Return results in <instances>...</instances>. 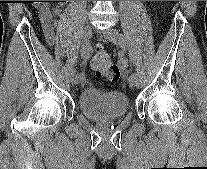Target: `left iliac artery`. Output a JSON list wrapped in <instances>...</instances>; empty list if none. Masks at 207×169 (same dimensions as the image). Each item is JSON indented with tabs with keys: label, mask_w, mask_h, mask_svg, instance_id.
I'll return each instance as SVG.
<instances>
[{
	"label": "left iliac artery",
	"mask_w": 207,
	"mask_h": 169,
	"mask_svg": "<svg viewBox=\"0 0 207 169\" xmlns=\"http://www.w3.org/2000/svg\"><path fill=\"white\" fill-rule=\"evenodd\" d=\"M118 64H119L120 72H124V74H131L129 78H135L137 76V74L134 73V69H128L129 67H128L127 56H124L122 54L120 56V59H118Z\"/></svg>",
	"instance_id": "left-iliac-artery-1"
}]
</instances>
